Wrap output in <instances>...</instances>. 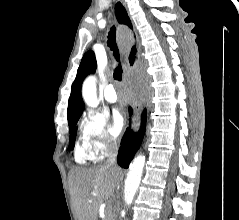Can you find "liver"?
I'll return each instance as SVG.
<instances>
[{"instance_id":"obj_1","label":"liver","mask_w":239,"mask_h":220,"mask_svg":"<svg viewBox=\"0 0 239 220\" xmlns=\"http://www.w3.org/2000/svg\"><path fill=\"white\" fill-rule=\"evenodd\" d=\"M122 178V170L117 166L72 170L70 193L78 220H98L100 205L114 195Z\"/></svg>"}]
</instances>
